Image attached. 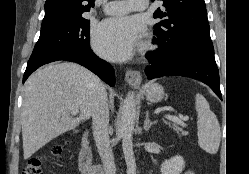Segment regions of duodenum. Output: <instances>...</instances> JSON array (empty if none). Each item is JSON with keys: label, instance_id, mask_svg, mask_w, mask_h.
Returning <instances> with one entry per match:
<instances>
[{"label": "duodenum", "instance_id": "duodenum-1", "mask_svg": "<svg viewBox=\"0 0 249 174\" xmlns=\"http://www.w3.org/2000/svg\"><path fill=\"white\" fill-rule=\"evenodd\" d=\"M79 170L81 174H104V169L100 164H93L92 150L89 143V133L83 134L81 150L79 155Z\"/></svg>", "mask_w": 249, "mask_h": 174}]
</instances>
